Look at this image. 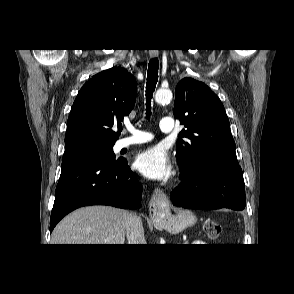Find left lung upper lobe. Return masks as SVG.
Returning <instances> with one entry per match:
<instances>
[{"label": "left lung upper lobe", "instance_id": "1", "mask_svg": "<svg viewBox=\"0 0 294 294\" xmlns=\"http://www.w3.org/2000/svg\"><path fill=\"white\" fill-rule=\"evenodd\" d=\"M174 116L187 128L179 133L177 142L176 156L183 171H198L215 163L239 165L224 106L206 84L192 78L180 80Z\"/></svg>", "mask_w": 294, "mask_h": 294}]
</instances>
